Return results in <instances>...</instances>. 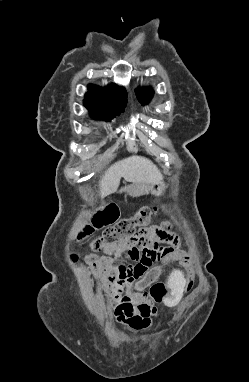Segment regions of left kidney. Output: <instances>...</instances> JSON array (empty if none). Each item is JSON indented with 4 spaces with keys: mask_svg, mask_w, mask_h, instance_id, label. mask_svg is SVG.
<instances>
[{
    "mask_svg": "<svg viewBox=\"0 0 249 382\" xmlns=\"http://www.w3.org/2000/svg\"><path fill=\"white\" fill-rule=\"evenodd\" d=\"M163 282L166 283L167 294L161 299V304L164 305L165 309H174L175 305L186 297L185 287L188 277L178 270L164 276Z\"/></svg>",
    "mask_w": 249,
    "mask_h": 382,
    "instance_id": "obj_1",
    "label": "left kidney"
}]
</instances>
